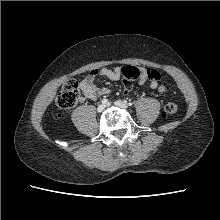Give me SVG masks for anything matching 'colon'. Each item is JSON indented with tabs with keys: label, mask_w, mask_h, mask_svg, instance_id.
Returning a JSON list of instances; mask_svg holds the SVG:
<instances>
[{
	"label": "colon",
	"mask_w": 220,
	"mask_h": 220,
	"mask_svg": "<svg viewBox=\"0 0 220 220\" xmlns=\"http://www.w3.org/2000/svg\"><path fill=\"white\" fill-rule=\"evenodd\" d=\"M148 77L150 79H159L160 74L154 69H148ZM140 76V70L134 66H125L121 70V77L125 85V92L131 88L133 82ZM158 91L160 93H165L167 87L164 85H159ZM81 96L80 87L76 80H68L60 90L57 98L56 105L61 110H69L74 107L79 101ZM164 113L166 115H172L177 112L178 105L175 101H169L164 106Z\"/></svg>",
	"instance_id": "1"
}]
</instances>
